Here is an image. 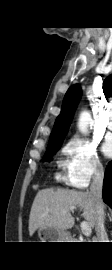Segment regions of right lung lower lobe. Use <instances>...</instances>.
Masks as SVG:
<instances>
[{
  "instance_id": "1",
  "label": "right lung lower lobe",
  "mask_w": 112,
  "mask_h": 270,
  "mask_svg": "<svg viewBox=\"0 0 112 270\" xmlns=\"http://www.w3.org/2000/svg\"><path fill=\"white\" fill-rule=\"evenodd\" d=\"M102 196L104 202L112 208V161L105 171Z\"/></svg>"
}]
</instances>
